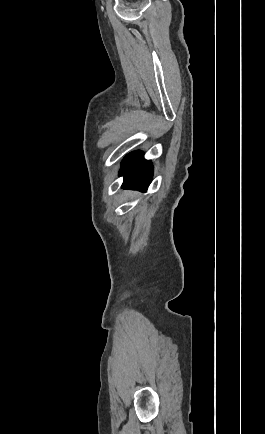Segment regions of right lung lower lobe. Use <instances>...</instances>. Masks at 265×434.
I'll use <instances>...</instances> for the list:
<instances>
[{
	"instance_id": "right-lung-lower-lobe-1",
	"label": "right lung lower lobe",
	"mask_w": 265,
	"mask_h": 434,
	"mask_svg": "<svg viewBox=\"0 0 265 434\" xmlns=\"http://www.w3.org/2000/svg\"><path fill=\"white\" fill-rule=\"evenodd\" d=\"M152 171L153 166L143 158V153L128 154L119 173L124 176L123 188L146 191L152 179Z\"/></svg>"
}]
</instances>
